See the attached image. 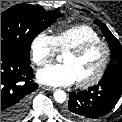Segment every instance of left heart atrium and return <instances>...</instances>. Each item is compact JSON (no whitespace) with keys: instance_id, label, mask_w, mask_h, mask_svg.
<instances>
[{"instance_id":"obj_1","label":"left heart atrium","mask_w":122,"mask_h":122,"mask_svg":"<svg viewBox=\"0 0 122 122\" xmlns=\"http://www.w3.org/2000/svg\"><path fill=\"white\" fill-rule=\"evenodd\" d=\"M38 80L49 86H68L76 82L73 69L67 64H50L37 73Z\"/></svg>"}]
</instances>
